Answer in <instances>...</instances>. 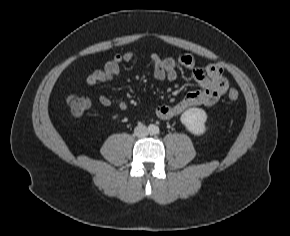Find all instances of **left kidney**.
I'll list each match as a JSON object with an SVG mask.
<instances>
[{"mask_svg": "<svg viewBox=\"0 0 290 236\" xmlns=\"http://www.w3.org/2000/svg\"><path fill=\"white\" fill-rule=\"evenodd\" d=\"M180 120L186 129L194 135H201L206 131L207 114L203 109L190 108L181 115Z\"/></svg>", "mask_w": 290, "mask_h": 236, "instance_id": "obj_1", "label": "left kidney"}]
</instances>
